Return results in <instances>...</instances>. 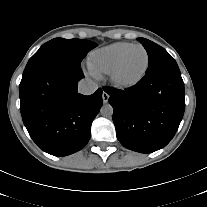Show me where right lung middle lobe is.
Returning a JSON list of instances; mask_svg holds the SVG:
<instances>
[{
    "label": "right lung middle lobe",
    "instance_id": "dd1d6c3e",
    "mask_svg": "<svg viewBox=\"0 0 207 207\" xmlns=\"http://www.w3.org/2000/svg\"><path fill=\"white\" fill-rule=\"evenodd\" d=\"M96 46V43L89 40L54 38L42 45L29 59L24 72L56 60L80 65L86 54Z\"/></svg>",
    "mask_w": 207,
    "mask_h": 207
}]
</instances>
